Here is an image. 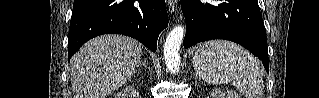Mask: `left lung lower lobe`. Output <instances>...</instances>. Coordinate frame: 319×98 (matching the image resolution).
Here are the masks:
<instances>
[{"mask_svg":"<svg viewBox=\"0 0 319 98\" xmlns=\"http://www.w3.org/2000/svg\"><path fill=\"white\" fill-rule=\"evenodd\" d=\"M186 18L185 48L211 39H225L247 48L269 70L266 30L257 0H180Z\"/></svg>","mask_w":319,"mask_h":98,"instance_id":"0a47b994","label":"left lung lower lobe"}]
</instances>
